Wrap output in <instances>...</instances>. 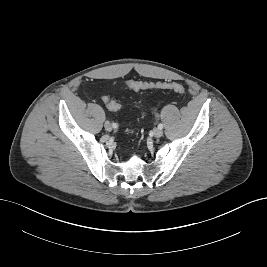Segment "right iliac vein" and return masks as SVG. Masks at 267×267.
<instances>
[{
    "instance_id": "63e3f726",
    "label": "right iliac vein",
    "mask_w": 267,
    "mask_h": 267,
    "mask_svg": "<svg viewBox=\"0 0 267 267\" xmlns=\"http://www.w3.org/2000/svg\"><path fill=\"white\" fill-rule=\"evenodd\" d=\"M105 130L106 131H111L112 130V125L109 121H106L104 124Z\"/></svg>"
}]
</instances>
